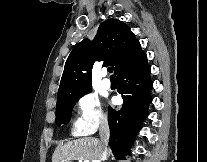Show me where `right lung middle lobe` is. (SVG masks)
<instances>
[{
	"label": "right lung middle lobe",
	"mask_w": 207,
	"mask_h": 162,
	"mask_svg": "<svg viewBox=\"0 0 207 162\" xmlns=\"http://www.w3.org/2000/svg\"><path fill=\"white\" fill-rule=\"evenodd\" d=\"M88 93V92H86ZM76 95V96H67L57 99L56 105V122L58 126L61 124H67L71 117V111L73 109L74 104L78 99H80L84 94Z\"/></svg>",
	"instance_id": "1"
}]
</instances>
